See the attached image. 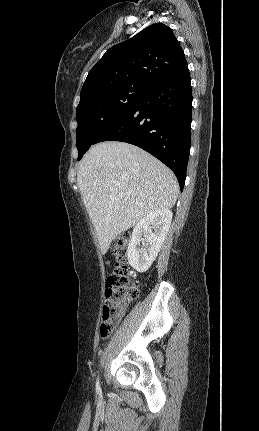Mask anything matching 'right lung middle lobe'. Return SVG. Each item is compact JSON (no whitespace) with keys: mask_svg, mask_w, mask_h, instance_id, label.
Returning a JSON list of instances; mask_svg holds the SVG:
<instances>
[{"mask_svg":"<svg viewBox=\"0 0 259 431\" xmlns=\"http://www.w3.org/2000/svg\"><path fill=\"white\" fill-rule=\"evenodd\" d=\"M146 91L140 87L125 86L94 94L79 103L76 110L78 160Z\"/></svg>","mask_w":259,"mask_h":431,"instance_id":"obj_1","label":"right lung middle lobe"}]
</instances>
